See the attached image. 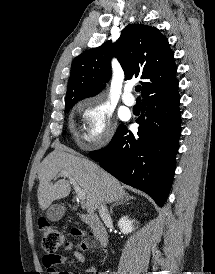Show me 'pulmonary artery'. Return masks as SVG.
<instances>
[{
  "instance_id": "pulmonary-artery-1",
  "label": "pulmonary artery",
  "mask_w": 215,
  "mask_h": 274,
  "mask_svg": "<svg viewBox=\"0 0 215 274\" xmlns=\"http://www.w3.org/2000/svg\"><path fill=\"white\" fill-rule=\"evenodd\" d=\"M131 92H132V86L126 85L124 88V93L122 95V100L124 104L130 107L134 106L136 103L135 98Z\"/></svg>"
}]
</instances>
